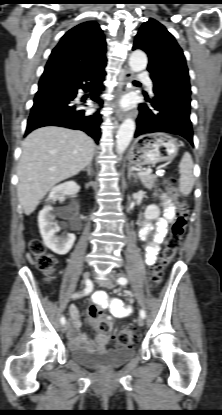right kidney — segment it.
I'll return each mask as SVG.
<instances>
[{
  "instance_id": "ca27d5eb",
  "label": "right kidney",
  "mask_w": 222,
  "mask_h": 415,
  "mask_svg": "<svg viewBox=\"0 0 222 415\" xmlns=\"http://www.w3.org/2000/svg\"><path fill=\"white\" fill-rule=\"evenodd\" d=\"M78 190L79 186L74 181H68L53 187L48 196V200L54 202L57 199H64L66 196H75ZM64 212L65 209L63 208L54 210L51 205H46L39 212L38 216L39 229L44 244L59 255L67 254L76 239L75 235L71 233L63 237L56 235L59 232V227L54 222V215L63 217Z\"/></svg>"
}]
</instances>
